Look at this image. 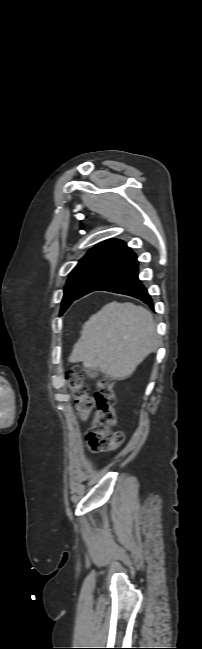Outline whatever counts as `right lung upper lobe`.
Here are the masks:
<instances>
[{"label":"right lung upper lobe","mask_w":202,"mask_h":649,"mask_svg":"<svg viewBox=\"0 0 202 649\" xmlns=\"http://www.w3.org/2000/svg\"><path fill=\"white\" fill-rule=\"evenodd\" d=\"M130 251V248L118 239H110L97 244L87 254H110L119 256Z\"/></svg>","instance_id":"1"}]
</instances>
